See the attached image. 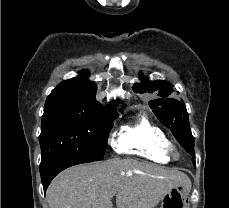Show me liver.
<instances>
[{"mask_svg":"<svg viewBox=\"0 0 229 208\" xmlns=\"http://www.w3.org/2000/svg\"><path fill=\"white\" fill-rule=\"evenodd\" d=\"M179 168H163L137 160H105L80 164L58 174L47 190L50 208H155L173 186L191 188Z\"/></svg>","mask_w":229,"mask_h":208,"instance_id":"6515ba94","label":"liver"}]
</instances>
